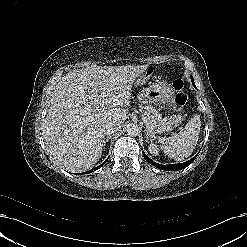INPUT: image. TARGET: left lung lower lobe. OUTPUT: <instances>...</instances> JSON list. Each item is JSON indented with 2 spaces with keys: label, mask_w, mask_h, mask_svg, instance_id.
Returning <instances> with one entry per match:
<instances>
[{
  "label": "left lung lower lobe",
  "mask_w": 247,
  "mask_h": 247,
  "mask_svg": "<svg viewBox=\"0 0 247 247\" xmlns=\"http://www.w3.org/2000/svg\"><path fill=\"white\" fill-rule=\"evenodd\" d=\"M191 81L193 83V86L195 87L194 79L192 77H191ZM143 156L147 160V162H149L150 164H152L156 168L161 169V170H165V171H167V170H181V169L189 166L195 159V158H192L189 161L184 162V163H180V164L161 165V164H158V163L154 162L153 160H151L144 152H143Z\"/></svg>",
  "instance_id": "1"
}]
</instances>
